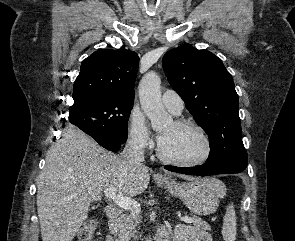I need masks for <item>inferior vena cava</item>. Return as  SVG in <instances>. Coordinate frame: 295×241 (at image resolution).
<instances>
[{
	"mask_svg": "<svg viewBox=\"0 0 295 241\" xmlns=\"http://www.w3.org/2000/svg\"><path fill=\"white\" fill-rule=\"evenodd\" d=\"M121 157L132 166H142L144 161V143L131 139L123 149Z\"/></svg>",
	"mask_w": 295,
	"mask_h": 241,
	"instance_id": "obj_1",
	"label": "inferior vena cava"
}]
</instances>
